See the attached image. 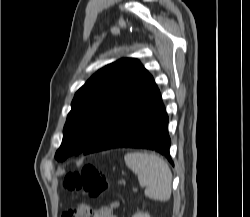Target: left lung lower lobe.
I'll use <instances>...</instances> for the list:
<instances>
[{
	"label": "left lung lower lobe",
	"mask_w": 250,
	"mask_h": 217,
	"mask_svg": "<svg viewBox=\"0 0 250 217\" xmlns=\"http://www.w3.org/2000/svg\"><path fill=\"white\" fill-rule=\"evenodd\" d=\"M168 116L161 94L149 74L133 91L102 134L83 153L114 149L156 150L173 165L169 154L171 140Z\"/></svg>",
	"instance_id": "1"
}]
</instances>
